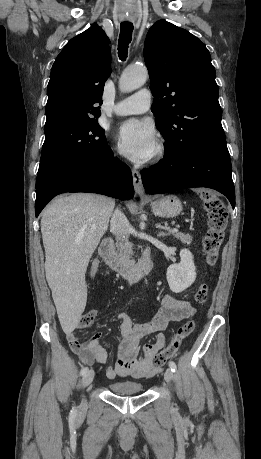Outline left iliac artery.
<instances>
[{
  "label": "left iliac artery",
  "instance_id": "left-iliac-artery-1",
  "mask_svg": "<svg viewBox=\"0 0 261 459\" xmlns=\"http://www.w3.org/2000/svg\"><path fill=\"white\" fill-rule=\"evenodd\" d=\"M169 367H170L172 372H175L176 369H177V366H176L175 362H173V361L169 362Z\"/></svg>",
  "mask_w": 261,
  "mask_h": 459
}]
</instances>
